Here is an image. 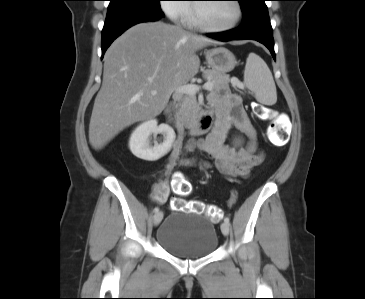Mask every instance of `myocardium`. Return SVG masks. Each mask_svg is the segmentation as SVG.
I'll use <instances>...</instances> for the list:
<instances>
[{
  "label": "myocardium",
  "instance_id": "obj_1",
  "mask_svg": "<svg viewBox=\"0 0 365 299\" xmlns=\"http://www.w3.org/2000/svg\"><path fill=\"white\" fill-rule=\"evenodd\" d=\"M232 1L234 2V5L236 7V17H235V20L230 25L225 26V27H213V26L207 25L206 23L203 22V20L200 16L198 4H194L191 7L192 20H193L194 26H196L204 31L211 32V33H222V32H227V31L234 29L241 21L243 10H242V6H241V3L239 0H232Z\"/></svg>",
  "mask_w": 365,
  "mask_h": 299
}]
</instances>
